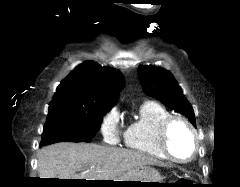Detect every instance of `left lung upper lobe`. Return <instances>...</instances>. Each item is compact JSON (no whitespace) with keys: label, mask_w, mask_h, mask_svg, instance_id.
I'll return each mask as SVG.
<instances>
[{"label":"left lung upper lobe","mask_w":240,"mask_h":187,"mask_svg":"<svg viewBox=\"0 0 240 187\" xmlns=\"http://www.w3.org/2000/svg\"><path fill=\"white\" fill-rule=\"evenodd\" d=\"M138 76L146 94L185 115L194 126L196 125L193 108L172 74L156 66H139Z\"/></svg>","instance_id":"5c2ea615"}]
</instances>
